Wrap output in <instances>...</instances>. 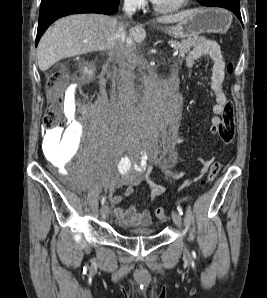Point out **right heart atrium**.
<instances>
[{
  "instance_id": "obj_1",
  "label": "right heart atrium",
  "mask_w": 267,
  "mask_h": 298,
  "mask_svg": "<svg viewBox=\"0 0 267 298\" xmlns=\"http://www.w3.org/2000/svg\"><path fill=\"white\" fill-rule=\"evenodd\" d=\"M127 4L133 7H140L143 5L144 0H125Z\"/></svg>"
}]
</instances>
